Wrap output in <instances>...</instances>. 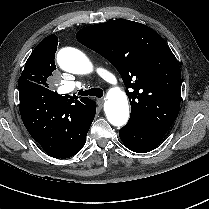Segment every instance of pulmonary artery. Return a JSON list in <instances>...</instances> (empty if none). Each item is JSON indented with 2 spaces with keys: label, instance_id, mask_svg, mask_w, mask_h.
<instances>
[{
  "label": "pulmonary artery",
  "instance_id": "pulmonary-artery-1",
  "mask_svg": "<svg viewBox=\"0 0 209 209\" xmlns=\"http://www.w3.org/2000/svg\"><path fill=\"white\" fill-rule=\"evenodd\" d=\"M94 71L96 73V75L98 77H100L106 84H108L111 87H118L119 86V81L118 79L115 77L114 74L108 72L107 70H105L103 67L100 66H96L94 68ZM81 86L80 82H76L73 85H68L66 83L62 84L63 90L64 92H70L72 91L74 88H78Z\"/></svg>",
  "mask_w": 209,
  "mask_h": 209
}]
</instances>
